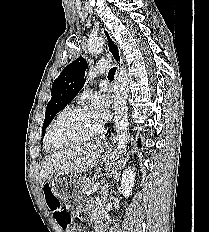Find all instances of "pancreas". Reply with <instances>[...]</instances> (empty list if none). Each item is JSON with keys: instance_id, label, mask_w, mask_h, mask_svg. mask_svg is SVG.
<instances>
[{"instance_id": "obj_1", "label": "pancreas", "mask_w": 209, "mask_h": 232, "mask_svg": "<svg viewBox=\"0 0 209 232\" xmlns=\"http://www.w3.org/2000/svg\"><path fill=\"white\" fill-rule=\"evenodd\" d=\"M81 183H82L81 190L83 194H86L93 185L90 179H83Z\"/></svg>"}]
</instances>
